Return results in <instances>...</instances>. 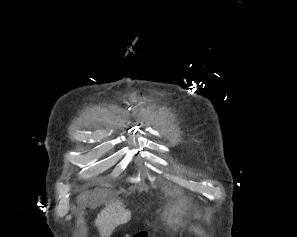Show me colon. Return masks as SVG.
Instances as JSON below:
<instances>
[{
    "label": "colon",
    "mask_w": 297,
    "mask_h": 237,
    "mask_svg": "<svg viewBox=\"0 0 297 237\" xmlns=\"http://www.w3.org/2000/svg\"><path fill=\"white\" fill-rule=\"evenodd\" d=\"M134 237H146V235L144 233H142V234L136 235Z\"/></svg>",
    "instance_id": "1"
}]
</instances>
